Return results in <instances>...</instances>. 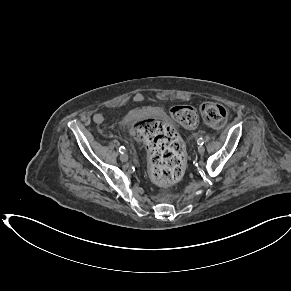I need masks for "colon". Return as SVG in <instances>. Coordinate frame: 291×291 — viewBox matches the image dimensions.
<instances>
[{
    "mask_svg": "<svg viewBox=\"0 0 291 291\" xmlns=\"http://www.w3.org/2000/svg\"><path fill=\"white\" fill-rule=\"evenodd\" d=\"M199 110L209 126L218 128L226 121L227 111L220 104L205 102ZM171 116L185 128L193 129L198 125L197 111L189 105L174 106ZM136 131L147 145L153 182L169 186L180 181L186 169V151L173 127L153 118L140 122Z\"/></svg>",
    "mask_w": 291,
    "mask_h": 291,
    "instance_id": "colon-1",
    "label": "colon"
}]
</instances>
